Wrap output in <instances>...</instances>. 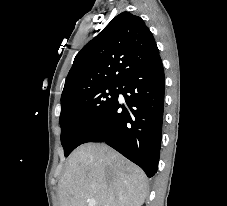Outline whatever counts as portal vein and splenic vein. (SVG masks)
I'll list each match as a JSON object with an SVG mask.
<instances>
[{"label": "portal vein and splenic vein", "mask_w": 227, "mask_h": 206, "mask_svg": "<svg viewBox=\"0 0 227 206\" xmlns=\"http://www.w3.org/2000/svg\"><path fill=\"white\" fill-rule=\"evenodd\" d=\"M95 204H96L95 200L88 201V206H95Z\"/></svg>", "instance_id": "18ae733b"}]
</instances>
